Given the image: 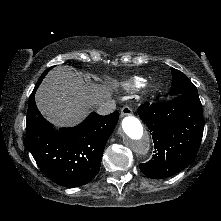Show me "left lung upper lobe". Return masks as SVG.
I'll list each match as a JSON object with an SVG mask.
<instances>
[{
  "label": "left lung upper lobe",
  "mask_w": 221,
  "mask_h": 221,
  "mask_svg": "<svg viewBox=\"0 0 221 221\" xmlns=\"http://www.w3.org/2000/svg\"><path fill=\"white\" fill-rule=\"evenodd\" d=\"M172 72V86L170 88L169 94L172 97L181 94L198 96V92L194 84L185 76L182 72L177 69L171 68Z\"/></svg>",
  "instance_id": "obj_1"
}]
</instances>
